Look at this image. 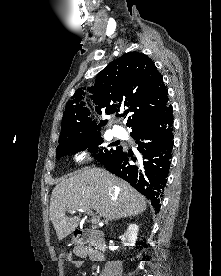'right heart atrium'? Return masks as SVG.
Here are the masks:
<instances>
[{"mask_svg":"<svg viewBox=\"0 0 221 276\" xmlns=\"http://www.w3.org/2000/svg\"><path fill=\"white\" fill-rule=\"evenodd\" d=\"M81 157H82V155H79V156L77 157V159H81Z\"/></svg>","mask_w":221,"mask_h":276,"instance_id":"obj_1","label":"right heart atrium"}]
</instances>
